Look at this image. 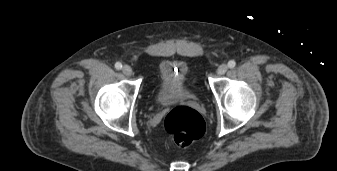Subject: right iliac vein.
Returning a JSON list of instances; mask_svg holds the SVG:
<instances>
[{
  "mask_svg": "<svg viewBox=\"0 0 337 171\" xmlns=\"http://www.w3.org/2000/svg\"><path fill=\"white\" fill-rule=\"evenodd\" d=\"M122 72L124 73V75L130 77L133 75V70L129 65H125L122 69Z\"/></svg>",
  "mask_w": 337,
  "mask_h": 171,
  "instance_id": "63e3f726",
  "label": "right iliac vein"
}]
</instances>
